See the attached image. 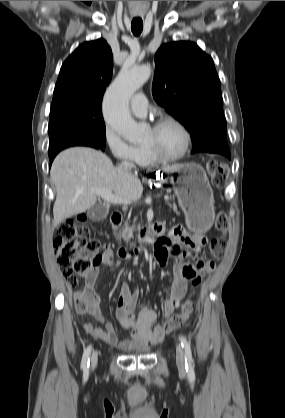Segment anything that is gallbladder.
I'll use <instances>...</instances> for the list:
<instances>
[{
    "label": "gallbladder",
    "mask_w": 285,
    "mask_h": 418,
    "mask_svg": "<svg viewBox=\"0 0 285 418\" xmlns=\"http://www.w3.org/2000/svg\"><path fill=\"white\" fill-rule=\"evenodd\" d=\"M108 214V209L103 204H95L87 211L89 219L93 221L104 219Z\"/></svg>",
    "instance_id": "obj_1"
}]
</instances>
